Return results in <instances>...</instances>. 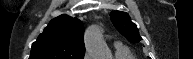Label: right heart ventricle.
<instances>
[{
	"mask_svg": "<svg viewBox=\"0 0 193 59\" xmlns=\"http://www.w3.org/2000/svg\"><path fill=\"white\" fill-rule=\"evenodd\" d=\"M115 59H136V57L128 48L123 47L115 50Z\"/></svg>",
	"mask_w": 193,
	"mask_h": 59,
	"instance_id": "e07e8e85",
	"label": "right heart ventricle"
}]
</instances>
